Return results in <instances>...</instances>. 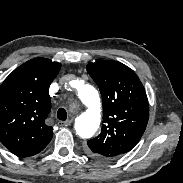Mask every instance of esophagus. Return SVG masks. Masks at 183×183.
<instances>
[{
  "instance_id": "1",
  "label": "esophagus",
  "mask_w": 183,
  "mask_h": 183,
  "mask_svg": "<svg viewBox=\"0 0 183 183\" xmlns=\"http://www.w3.org/2000/svg\"><path fill=\"white\" fill-rule=\"evenodd\" d=\"M73 120H67V121H60L59 126L61 127H68L72 124Z\"/></svg>"
}]
</instances>
